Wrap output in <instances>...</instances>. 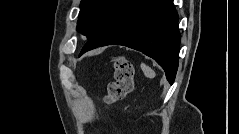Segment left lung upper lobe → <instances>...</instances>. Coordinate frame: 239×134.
<instances>
[{
	"label": "left lung upper lobe",
	"instance_id": "left-lung-upper-lobe-1",
	"mask_svg": "<svg viewBox=\"0 0 239 134\" xmlns=\"http://www.w3.org/2000/svg\"><path fill=\"white\" fill-rule=\"evenodd\" d=\"M124 0H82L77 30L88 39L99 32Z\"/></svg>",
	"mask_w": 239,
	"mask_h": 134
}]
</instances>
